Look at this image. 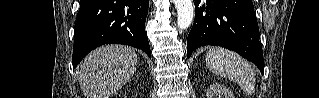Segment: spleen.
<instances>
[{"label":"spleen","mask_w":319,"mask_h":98,"mask_svg":"<svg viewBox=\"0 0 319 98\" xmlns=\"http://www.w3.org/2000/svg\"><path fill=\"white\" fill-rule=\"evenodd\" d=\"M206 65L214 74L234 80L248 94L255 89V70L238 54L223 48H211L206 55Z\"/></svg>","instance_id":"obj_1"}]
</instances>
